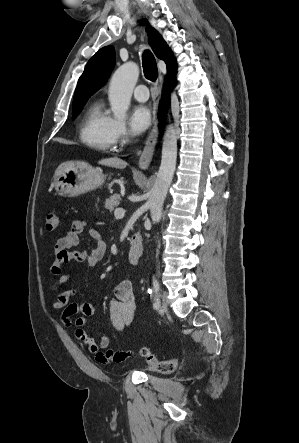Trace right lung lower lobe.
<instances>
[{
    "label": "right lung lower lobe",
    "instance_id": "98d812e1",
    "mask_svg": "<svg viewBox=\"0 0 299 443\" xmlns=\"http://www.w3.org/2000/svg\"><path fill=\"white\" fill-rule=\"evenodd\" d=\"M175 74L168 76L166 83H165V87L166 89L163 92V97L160 101V106H159V118H160V127H163V124L165 122V117H166V110H167V106H168V99L167 97L169 96V90L167 89V85H171L173 86L175 84Z\"/></svg>",
    "mask_w": 299,
    "mask_h": 443
}]
</instances>
